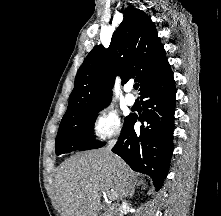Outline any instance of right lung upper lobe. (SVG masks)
I'll return each mask as SVG.
<instances>
[{"label": "right lung upper lobe", "mask_w": 221, "mask_h": 216, "mask_svg": "<svg viewBox=\"0 0 221 216\" xmlns=\"http://www.w3.org/2000/svg\"><path fill=\"white\" fill-rule=\"evenodd\" d=\"M168 70L170 65L154 23L143 11L128 7L109 48L95 46L79 68L63 118L108 105L117 75L123 83L135 78L141 83V94Z\"/></svg>", "instance_id": "obj_1"}]
</instances>
